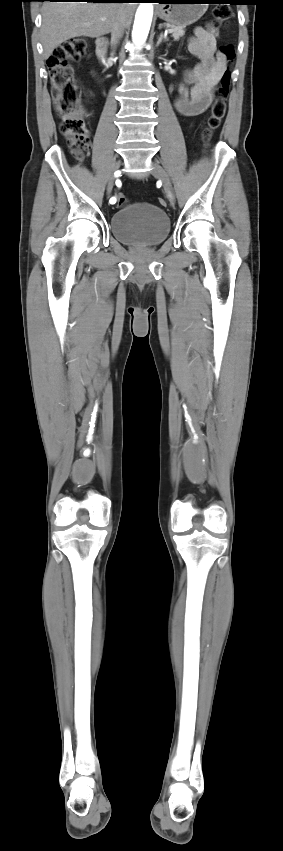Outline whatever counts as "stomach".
<instances>
[{"instance_id":"stomach-1","label":"stomach","mask_w":283,"mask_h":851,"mask_svg":"<svg viewBox=\"0 0 283 851\" xmlns=\"http://www.w3.org/2000/svg\"><path fill=\"white\" fill-rule=\"evenodd\" d=\"M157 5L158 16L173 25L187 26L199 20L208 8V0H163Z\"/></svg>"}]
</instances>
